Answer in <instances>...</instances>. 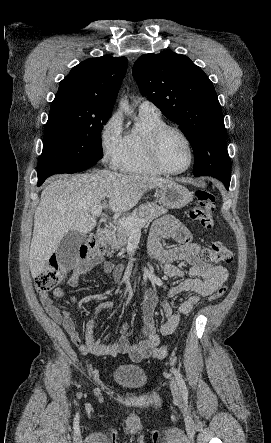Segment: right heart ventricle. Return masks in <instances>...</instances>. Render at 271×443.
<instances>
[{
    "label": "right heart ventricle",
    "instance_id": "obj_1",
    "mask_svg": "<svg viewBox=\"0 0 271 443\" xmlns=\"http://www.w3.org/2000/svg\"><path fill=\"white\" fill-rule=\"evenodd\" d=\"M164 124L161 115L140 113L134 128L124 136L123 155L118 165L122 171L134 174L162 173L149 158L148 141L152 132Z\"/></svg>",
    "mask_w": 271,
    "mask_h": 443
}]
</instances>
